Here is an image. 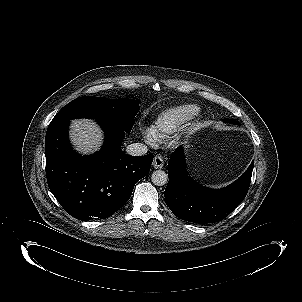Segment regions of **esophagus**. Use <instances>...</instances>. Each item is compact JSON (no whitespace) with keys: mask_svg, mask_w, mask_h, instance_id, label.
<instances>
[{"mask_svg":"<svg viewBox=\"0 0 302 302\" xmlns=\"http://www.w3.org/2000/svg\"><path fill=\"white\" fill-rule=\"evenodd\" d=\"M153 167L155 169H161L164 166V160L161 156L156 155L154 157L153 163H152Z\"/></svg>","mask_w":302,"mask_h":302,"instance_id":"esophagus-1","label":"esophagus"}]
</instances>
